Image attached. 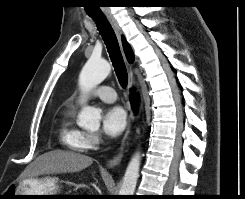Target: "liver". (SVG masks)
<instances>
[{
	"label": "liver",
	"mask_w": 245,
	"mask_h": 199,
	"mask_svg": "<svg viewBox=\"0 0 245 199\" xmlns=\"http://www.w3.org/2000/svg\"><path fill=\"white\" fill-rule=\"evenodd\" d=\"M93 162L89 156L79 153L53 150L40 155L28 168L25 176L32 179L35 176L50 173L79 172Z\"/></svg>",
	"instance_id": "6515ba94"
}]
</instances>
